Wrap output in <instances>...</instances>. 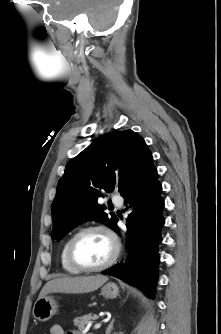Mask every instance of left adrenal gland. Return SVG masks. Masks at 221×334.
<instances>
[{"label":"left adrenal gland","mask_w":221,"mask_h":334,"mask_svg":"<svg viewBox=\"0 0 221 334\" xmlns=\"http://www.w3.org/2000/svg\"><path fill=\"white\" fill-rule=\"evenodd\" d=\"M113 323H114V319H112V321L110 322V324L108 325L107 329H106V334H110L111 331L113 330Z\"/></svg>","instance_id":"a2214340"}]
</instances>
